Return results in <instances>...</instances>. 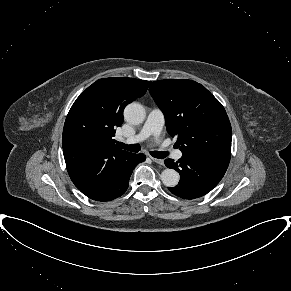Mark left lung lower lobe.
Listing matches in <instances>:
<instances>
[{"instance_id":"0a47b994","label":"left lung lower lobe","mask_w":291,"mask_h":291,"mask_svg":"<svg viewBox=\"0 0 291 291\" xmlns=\"http://www.w3.org/2000/svg\"><path fill=\"white\" fill-rule=\"evenodd\" d=\"M168 168L180 174L179 184L168 188L172 194L184 199H194L210 192L224 176L230 157L188 154L174 162L166 159Z\"/></svg>"}]
</instances>
